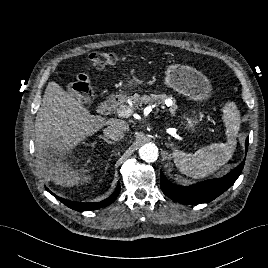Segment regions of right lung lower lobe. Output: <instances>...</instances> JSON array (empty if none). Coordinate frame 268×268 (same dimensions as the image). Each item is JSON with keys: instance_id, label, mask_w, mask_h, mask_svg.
I'll use <instances>...</instances> for the list:
<instances>
[{"instance_id": "right-lung-lower-lobe-1", "label": "right lung lower lobe", "mask_w": 268, "mask_h": 268, "mask_svg": "<svg viewBox=\"0 0 268 268\" xmlns=\"http://www.w3.org/2000/svg\"><path fill=\"white\" fill-rule=\"evenodd\" d=\"M47 191L49 193H51L53 196H55L62 203H64L66 206L70 207L73 210L91 211V210H96V209H100L102 207L108 206L109 204L114 202L115 199L117 198L119 192H120V184L118 183L115 192L109 198H107L101 202H96V203H94V202L82 203V202L69 201V200H66V199H63L61 197L56 196L49 189H47Z\"/></svg>"}]
</instances>
